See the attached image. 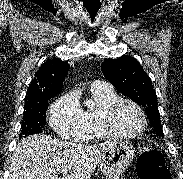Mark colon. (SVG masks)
<instances>
[{
	"mask_svg": "<svg viewBox=\"0 0 183 179\" xmlns=\"http://www.w3.org/2000/svg\"><path fill=\"white\" fill-rule=\"evenodd\" d=\"M136 167L140 179H171L164 156L157 149H142Z\"/></svg>",
	"mask_w": 183,
	"mask_h": 179,
	"instance_id": "5ec220e1",
	"label": "colon"
}]
</instances>
